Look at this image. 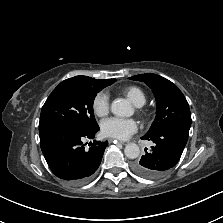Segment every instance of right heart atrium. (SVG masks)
Returning a JSON list of instances; mask_svg holds the SVG:
<instances>
[{"instance_id": "obj_1", "label": "right heart atrium", "mask_w": 223, "mask_h": 223, "mask_svg": "<svg viewBox=\"0 0 223 223\" xmlns=\"http://www.w3.org/2000/svg\"><path fill=\"white\" fill-rule=\"evenodd\" d=\"M92 108L96 116H106L110 110V99L108 94L104 91L97 93L93 99Z\"/></svg>"}]
</instances>
